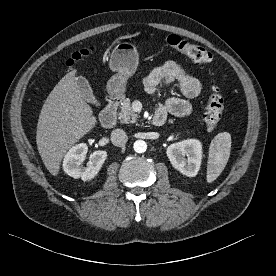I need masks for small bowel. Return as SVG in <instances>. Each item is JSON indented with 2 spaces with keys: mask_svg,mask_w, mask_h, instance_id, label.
<instances>
[{
  "mask_svg": "<svg viewBox=\"0 0 276 276\" xmlns=\"http://www.w3.org/2000/svg\"><path fill=\"white\" fill-rule=\"evenodd\" d=\"M178 84L181 92L189 98L196 97L201 91V84L197 78L185 72V70L174 61H167L154 67L142 81L144 90L155 96L162 84ZM192 106L186 99L179 97L168 98L164 104H160L157 112H163L183 117L191 113Z\"/></svg>",
  "mask_w": 276,
  "mask_h": 276,
  "instance_id": "small-bowel-1",
  "label": "small bowel"
}]
</instances>
